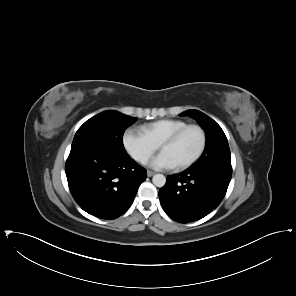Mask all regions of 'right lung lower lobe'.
I'll use <instances>...</instances> for the list:
<instances>
[{"label":"right lung lower lobe","mask_w":296,"mask_h":296,"mask_svg":"<svg viewBox=\"0 0 296 296\" xmlns=\"http://www.w3.org/2000/svg\"><path fill=\"white\" fill-rule=\"evenodd\" d=\"M69 189L87 213L112 220L131 206L147 173L128 154L98 148L71 150L66 161Z\"/></svg>","instance_id":"1"}]
</instances>
